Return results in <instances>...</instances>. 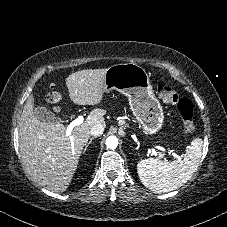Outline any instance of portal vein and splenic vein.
I'll return each mask as SVG.
<instances>
[{
    "mask_svg": "<svg viewBox=\"0 0 227 227\" xmlns=\"http://www.w3.org/2000/svg\"><path fill=\"white\" fill-rule=\"evenodd\" d=\"M84 121V118L82 115H79L75 120H73L72 122H70V124L68 125L67 127V130H66V135L69 136L72 132V130L74 129V127L82 124ZM155 148L161 150L162 152H165L166 150L162 147H159V146H153L152 147V152L154 155H157L156 151H155ZM168 154L173 156V158H176V159H181L182 156H179L177 155L176 153H174L172 150L168 151Z\"/></svg>",
    "mask_w": 227,
    "mask_h": 227,
    "instance_id": "obj_1",
    "label": "portal vein and splenic vein"
}]
</instances>
